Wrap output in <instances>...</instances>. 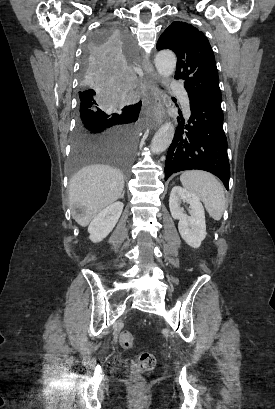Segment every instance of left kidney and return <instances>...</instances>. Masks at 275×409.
Returning a JSON list of instances; mask_svg holds the SVG:
<instances>
[{
    "mask_svg": "<svg viewBox=\"0 0 275 409\" xmlns=\"http://www.w3.org/2000/svg\"><path fill=\"white\" fill-rule=\"evenodd\" d=\"M181 202H187V205H190L191 217L185 215L184 209L180 207ZM169 207L173 219H179L178 229L182 239L190 247L198 249L207 235L204 207L198 196L182 186H173L170 192Z\"/></svg>",
    "mask_w": 275,
    "mask_h": 409,
    "instance_id": "left-kidney-1",
    "label": "left kidney"
}]
</instances>
